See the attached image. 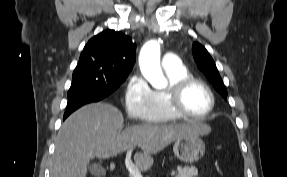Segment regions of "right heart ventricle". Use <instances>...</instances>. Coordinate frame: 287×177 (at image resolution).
Masks as SVG:
<instances>
[{"mask_svg":"<svg viewBox=\"0 0 287 177\" xmlns=\"http://www.w3.org/2000/svg\"><path fill=\"white\" fill-rule=\"evenodd\" d=\"M164 72L168 80V86L176 83L186 76H189V73L184 65H180L179 67L173 69H164ZM166 89L167 88L152 91L151 112L148 118L149 122L166 123L180 118L179 116L175 115L169 107Z\"/></svg>","mask_w":287,"mask_h":177,"instance_id":"right-heart-ventricle-1","label":"right heart ventricle"}]
</instances>
